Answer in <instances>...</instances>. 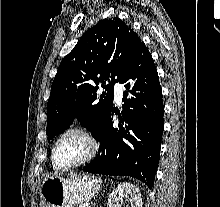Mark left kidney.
<instances>
[{"label":"left kidney","mask_w":220,"mask_h":207,"mask_svg":"<svg viewBox=\"0 0 220 207\" xmlns=\"http://www.w3.org/2000/svg\"><path fill=\"white\" fill-rule=\"evenodd\" d=\"M124 200L130 204V207H143L139 188L128 182L120 184L111 192L108 207H122Z\"/></svg>","instance_id":"5707ae66"}]
</instances>
